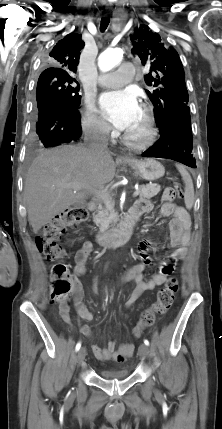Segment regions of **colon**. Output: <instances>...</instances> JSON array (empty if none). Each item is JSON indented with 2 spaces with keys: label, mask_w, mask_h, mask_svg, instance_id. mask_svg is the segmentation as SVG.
<instances>
[{
  "label": "colon",
  "mask_w": 222,
  "mask_h": 429,
  "mask_svg": "<svg viewBox=\"0 0 222 429\" xmlns=\"http://www.w3.org/2000/svg\"><path fill=\"white\" fill-rule=\"evenodd\" d=\"M177 196L184 197L179 184L167 187L163 191L162 199L165 202H171ZM86 218L87 211L83 207H73L64 210L50 221L43 228L41 234L37 236L36 245L38 249L52 261L62 260L65 257V251L58 243L60 238L67 228L79 226ZM75 288L73 276L67 267L62 263L55 264L50 273L49 302L60 306L66 305ZM177 291V279L169 278L164 287L159 290L157 299L142 313L139 322L134 327L132 333L135 338L140 337L143 331L155 322L157 316L166 313L171 308Z\"/></svg>",
  "instance_id": "obj_1"
}]
</instances>
